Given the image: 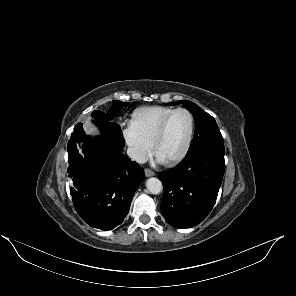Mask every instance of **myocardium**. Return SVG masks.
<instances>
[{
  "label": "myocardium",
  "instance_id": "obj_1",
  "mask_svg": "<svg viewBox=\"0 0 296 296\" xmlns=\"http://www.w3.org/2000/svg\"><path fill=\"white\" fill-rule=\"evenodd\" d=\"M179 112H185L186 114H188V116L190 118L191 126H190L189 137H188V140H187L186 145L183 148V150L178 155H176L175 157L170 159L169 161L163 162L165 165H174V164L180 162L181 160H183L186 157V155L188 154V152L192 146V143H193L195 128H196L194 115L192 114V112L190 110H188L186 108H177V109H174L168 116H166L165 119L160 124V126L156 132V135L152 141V144H151L152 152L154 155H156L157 146L160 143V141L162 140L169 122L174 117V115Z\"/></svg>",
  "mask_w": 296,
  "mask_h": 296
}]
</instances>
